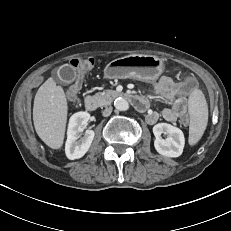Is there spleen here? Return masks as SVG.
Instances as JSON below:
<instances>
[{
  "mask_svg": "<svg viewBox=\"0 0 231 231\" xmlns=\"http://www.w3.org/2000/svg\"><path fill=\"white\" fill-rule=\"evenodd\" d=\"M189 143L196 144L202 137L208 122V106L202 91L196 89L189 97Z\"/></svg>",
  "mask_w": 231,
  "mask_h": 231,
  "instance_id": "3e777b00",
  "label": "spleen"
}]
</instances>
